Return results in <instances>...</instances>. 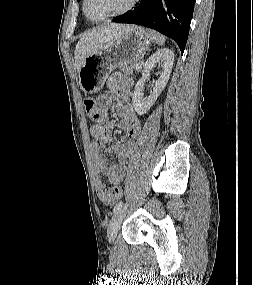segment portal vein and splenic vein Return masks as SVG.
<instances>
[{
	"instance_id": "18ae733b",
	"label": "portal vein and splenic vein",
	"mask_w": 253,
	"mask_h": 285,
	"mask_svg": "<svg viewBox=\"0 0 253 285\" xmlns=\"http://www.w3.org/2000/svg\"><path fill=\"white\" fill-rule=\"evenodd\" d=\"M136 69H137V70L141 69V65L138 64V65L136 66Z\"/></svg>"
}]
</instances>
